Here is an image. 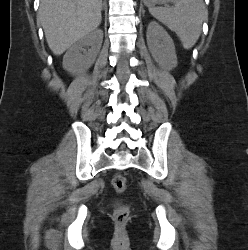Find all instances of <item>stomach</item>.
Wrapping results in <instances>:
<instances>
[{"mask_svg": "<svg viewBox=\"0 0 248 250\" xmlns=\"http://www.w3.org/2000/svg\"><path fill=\"white\" fill-rule=\"evenodd\" d=\"M145 5L151 7V6H155V5H161V4H166L172 0H143Z\"/></svg>", "mask_w": 248, "mask_h": 250, "instance_id": "stomach-1", "label": "stomach"}]
</instances>
